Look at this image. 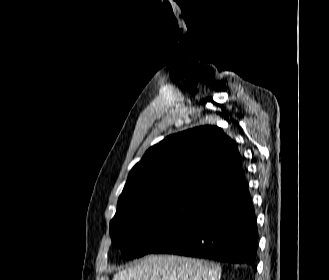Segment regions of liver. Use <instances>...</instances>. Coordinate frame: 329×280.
Masks as SVG:
<instances>
[{"label":"liver","instance_id":"1","mask_svg":"<svg viewBox=\"0 0 329 280\" xmlns=\"http://www.w3.org/2000/svg\"><path fill=\"white\" fill-rule=\"evenodd\" d=\"M221 267L213 262L176 255H150L116 273L113 280H220Z\"/></svg>","mask_w":329,"mask_h":280}]
</instances>
